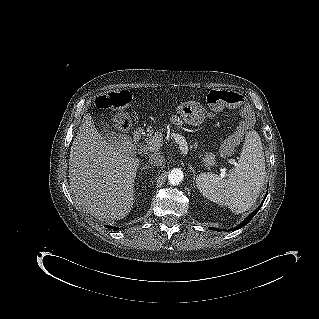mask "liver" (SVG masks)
Wrapping results in <instances>:
<instances>
[{"instance_id": "liver-1", "label": "liver", "mask_w": 319, "mask_h": 319, "mask_svg": "<svg viewBox=\"0 0 319 319\" xmlns=\"http://www.w3.org/2000/svg\"><path fill=\"white\" fill-rule=\"evenodd\" d=\"M69 157L70 186L87 213L103 220L130 213L140 160L98 131L89 114L82 120Z\"/></svg>"}]
</instances>
